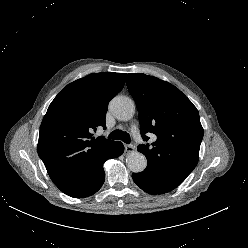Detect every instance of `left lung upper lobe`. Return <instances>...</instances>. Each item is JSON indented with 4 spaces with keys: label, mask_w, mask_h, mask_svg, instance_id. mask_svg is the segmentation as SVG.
Returning a JSON list of instances; mask_svg holds the SVG:
<instances>
[{
    "label": "left lung upper lobe",
    "mask_w": 248,
    "mask_h": 248,
    "mask_svg": "<svg viewBox=\"0 0 248 248\" xmlns=\"http://www.w3.org/2000/svg\"><path fill=\"white\" fill-rule=\"evenodd\" d=\"M127 87L139 112L141 136L157 139L138 151L147 158L145 170L177 187L196 167L204 130L198 110L175 86L145 74H128Z\"/></svg>",
    "instance_id": "5c2ea615"
}]
</instances>
